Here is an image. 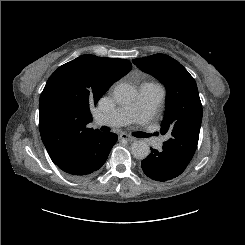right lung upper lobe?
Instances as JSON below:
<instances>
[{
  "label": "right lung upper lobe",
  "mask_w": 245,
  "mask_h": 245,
  "mask_svg": "<svg viewBox=\"0 0 245 245\" xmlns=\"http://www.w3.org/2000/svg\"><path fill=\"white\" fill-rule=\"evenodd\" d=\"M131 68L129 60L86 54L53 72L40 96L39 127L54 163L98 131L87 127L90 109Z\"/></svg>",
  "instance_id": "right-lung-upper-lobe-1"
}]
</instances>
